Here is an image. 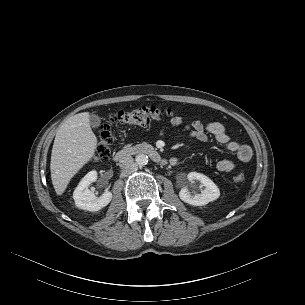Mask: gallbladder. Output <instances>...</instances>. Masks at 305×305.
<instances>
[{
	"label": "gallbladder",
	"mask_w": 305,
	"mask_h": 305,
	"mask_svg": "<svg viewBox=\"0 0 305 305\" xmlns=\"http://www.w3.org/2000/svg\"><path fill=\"white\" fill-rule=\"evenodd\" d=\"M90 125L93 127V128H98L100 126V123H101V118L96 115V114H91L90 117Z\"/></svg>",
	"instance_id": "gallbladder-1"
}]
</instances>
